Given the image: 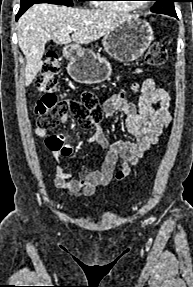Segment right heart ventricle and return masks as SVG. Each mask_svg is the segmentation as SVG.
I'll return each instance as SVG.
<instances>
[{"label": "right heart ventricle", "instance_id": "obj_1", "mask_svg": "<svg viewBox=\"0 0 193 287\" xmlns=\"http://www.w3.org/2000/svg\"><path fill=\"white\" fill-rule=\"evenodd\" d=\"M100 5L101 8L106 10L118 11V12H129L132 8L128 5L120 4L117 0H106ZM106 2V3H105ZM108 2V3H107Z\"/></svg>", "mask_w": 193, "mask_h": 287}]
</instances>
